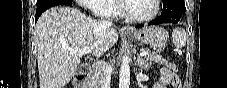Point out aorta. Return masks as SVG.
I'll return each instance as SVG.
<instances>
[{
  "label": "aorta",
  "mask_w": 227,
  "mask_h": 88,
  "mask_svg": "<svg viewBox=\"0 0 227 88\" xmlns=\"http://www.w3.org/2000/svg\"><path fill=\"white\" fill-rule=\"evenodd\" d=\"M130 57L124 55L119 71V88H129L130 86Z\"/></svg>",
  "instance_id": "762f6f07"
}]
</instances>
